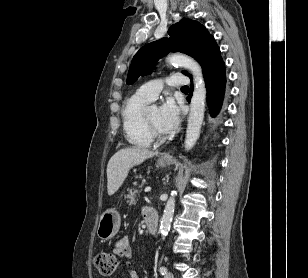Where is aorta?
Wrapping results in <instances>:
<instances>
[{"label": "aorta", "instance_id": "obj_1", "mask_svg": "<svg viewBox=\"0 0 308 278\" xmlns=\"http://www.w3.org/2000/svg\"><path fill=\"white\" fill-rule=\"evenodd\" d=\"M171 64L178 65L188 69L194 80V91L190 104V114L188 118V125L185 137V149L190 150L196 143L200 135L201 125L204 118L205 100H206V87L200 65L191 57L183 54H174L167 58ZM152 108H156L155 105ZM175 198L172 192L171 197L168 199L162 221L160 226L161 235L164 238L167 236L171 220L174 214Z\"/></svg>", "mask_w": 308, "mask_h": 278}]
</instances>
